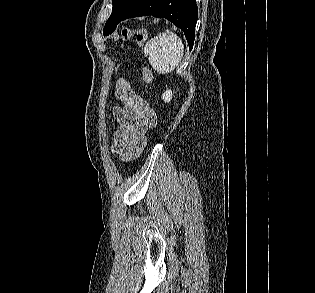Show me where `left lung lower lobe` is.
Segmentation results:
<instances>
[{
    "label": "left lung lower lobe",
    "instance_id": "0a47b994",
    "mask_svg": "<svg viewBox=\"0 0 315 293\" xmlns=\"http://www.w3.org/2000/svg\"><path fill=\"white\" fill-rule=\"evenodd\" d=\"M146 15L166 18L171 21L175 26L183 30L189 48L192 49L197 21L195 0H139L122 20Z\"/></svg>",
    "mask_w": 315,
    "mask_h": 293
}]
</instances>
